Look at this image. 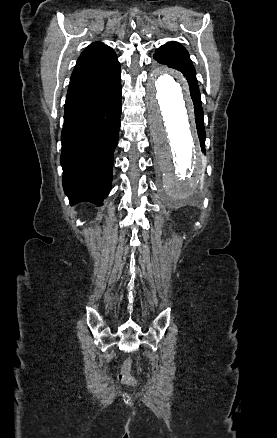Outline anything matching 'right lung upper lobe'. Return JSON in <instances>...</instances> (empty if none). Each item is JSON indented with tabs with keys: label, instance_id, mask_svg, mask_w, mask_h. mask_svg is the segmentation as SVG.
Segmentation results:
<instances>
[{
	"label": "right lung upper lobe",
	"instance_id": "cb5924a9",
	"mask_svg": "<svg viewBox=\"0 0 277 438\" xmlns=\"http://www.w3.org/2000/svg\"><path fill=\"white\" fill-rule=\"evenodd\" d=\"M119 68L120 64L113 49L101 42L92 43L77 60L68 91L111 76Z\"/></svg>",
	"mask_w": 277,
	"mask_h": 438
}]
</instances>
